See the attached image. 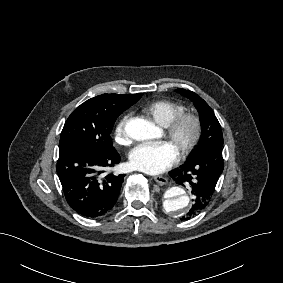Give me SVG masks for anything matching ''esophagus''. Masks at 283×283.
Segmentation results:
<instances>
[{"label":"esophagus","mask_w":283,"mask_h":283,"mask_svg":"<svg viewBox=\"0 0 283 283\" xmlns=\"http://www.w3.org/2000/svg\"><path fill=\"white\" fill-rule=\"evenodd\" d=\"M153 179L160 185H165L168 183V179L163 176H154Z\"/></svg>","instance_id":"obj_1"}]
</instances>
